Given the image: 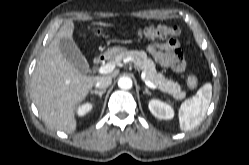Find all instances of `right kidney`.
<instances>
[{"label":"right kidney","instance_id":"right-kidney-1","mask_svg":"<svg viewBox=\"0 0 249 165\" xmlns=\"http://www.w3.org/2000/svg\"><path fill=\"white\" fill-rule=\"evenodd\" d=\"M92 108H93V105L91 103H86V104L78 107L77 114L79 116H84L85 114L90 112L92 110Z\"/></svg>","mask_w":249,"mask_h":165}]
</instances>
